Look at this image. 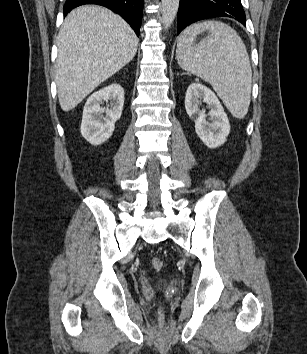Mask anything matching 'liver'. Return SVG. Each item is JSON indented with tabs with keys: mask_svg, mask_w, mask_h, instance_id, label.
<instances>
[{
	"mask_svg": "<svg viewBox=\"0 0 307 354\" xmlns=\"http://www.w3.org/2000/svg\"><path fill=\"white\" fill-rule=\"evenodd\" d=\"M57 46L55 82L60 106L68 112L134 58L138 38L119 15L85 5L66 16Z\"/></svg>",
	"mask_w": 307,
	"mask_h": 354,
	"instance_id": "6515ba94",
	"label": "liver"
}]
</instances>
